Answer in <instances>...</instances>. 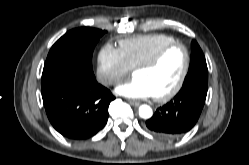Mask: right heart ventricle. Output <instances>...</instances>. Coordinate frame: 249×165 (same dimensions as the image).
I'll use <instances>...</instances> for the list:
<instances>
[{
	"mask_svg": "<svg viewBox=\"0 0 249 165\" xmlns=\"http://www.w3.org/2000/svg\"><path fill=\"white\" fill-rule=\"evenodd\" d=\"M175 39L162 33L138 35L119 41V49L130 69L151 58L162 46Z\"/></svg>",
	"mask_w": 249,
	"mask_h": 165,
	"instance_id": "obj_1",
	"label": "right heart ventricle"
}]
</instances>
